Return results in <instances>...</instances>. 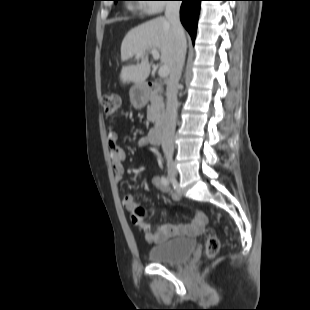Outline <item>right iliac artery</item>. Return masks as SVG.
I'll use <instances>...</instances> for the list:
<instances>
[{
  "label": "right iliac artery",
  "mask_w": 310,
  "mask_h": 310,
  "mask_svg": "<svg viewBox=\"0 0 310 310\" xmlns=\"http://www.w3.org/2000/svg\"><path fill=\"white\" fill-rule=\"evenodd\" d=\"M161 180H162L163 184H165V185H168V184H169V179H168L167 177L163 176V177L161 178Z\"/></svg>",
  "instance_id": "right-iliac-artery-1"
}]
</instances>
